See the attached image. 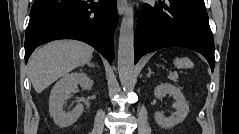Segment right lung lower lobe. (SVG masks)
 <instances>
[{"mask_svg": "<svg viewBox=\"0 0 239 134\" xmlns=\"http://www.w3.org/2000/svg\"><path fill=\"white\" fill-rule=\"evenodd\" d=\"M117 21L116 0H35L26 30L25 62L39 45L76 39L94 47L112 63Z\"/></svg>", "mask_w": 239, "mask_h": 134, "instance_id": "98d812e1", "label": "right lung lower lobe"}]
</instances>
